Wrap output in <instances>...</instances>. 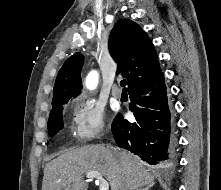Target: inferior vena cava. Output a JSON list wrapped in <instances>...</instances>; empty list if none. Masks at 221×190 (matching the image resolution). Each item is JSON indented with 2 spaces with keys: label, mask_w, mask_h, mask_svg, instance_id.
I'll list each match as a JSON object with an SVG mask.
<instances>
[{
  "label": "inferior vena cava",
  "mask_w": 221,
  "mask_h": 190,
  "mask_svg": "<svg viewBox=\"0 0 221 190\" xmlns=\"http://www.w3.org/2000/svg\"><path fill=\"white\" fill-rule=\"evenodd\" d=\"M111 149H112L113 153L116 155L117 154V150L115 148H112V147H111ZM122 189L123 190H128V185H123Z\"/></svg>",
  "instance_id": "obj_1"
}]
</instances>
